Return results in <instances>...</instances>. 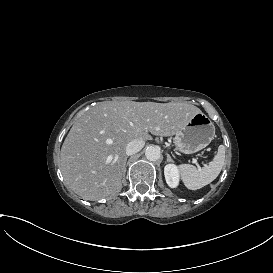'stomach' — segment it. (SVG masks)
Masks as SVG:
<instances>
[{
  "label": "stomach",
  "instance_id": "0dacf381",
  "mask_svg": "<svg viewBox=\"0 0 273 273\" xmlns=\"http://www.w3.org/2000/svg\"><path fill=\"white\" fill-rule=\"evenodd\" d=\"M214 137V124L205 114L198 113L176 133L174 144L179 151L191 154L207 147Z\"/></svg>",
  "mask_w": 273,
  "mask_h": 273
}]
</instances>
